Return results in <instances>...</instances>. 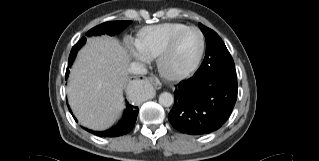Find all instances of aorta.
<instances>
[{
    "instance_id": "1",
    "label": "aorta",
    "mask_w": 319,
    "mask_h": 161,
    "mask_svg": "<svg viewBox=\"0 0 319 161\" xmlns=\"http://www.w3.org/2000/svg\"><path fill=\"white\" fill-rule=\"evenodd\" d=\"M151 89L150 85H145L144 87H142L138 93V96L140 98H146L148 97L147 91H149ZM174 102V98L173 95L169 92H163L160 94L159 96V103L164 106V107H169L173 104Z\"/></svg>"
}]
</instances>
